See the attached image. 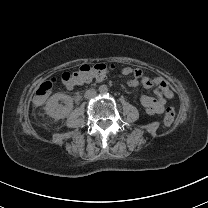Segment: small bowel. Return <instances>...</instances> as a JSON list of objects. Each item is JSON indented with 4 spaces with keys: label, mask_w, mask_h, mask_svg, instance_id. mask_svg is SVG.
I'll return each mask as SVG.
<instances>
[{
    "label": "small bowel",
    "mask_w": 208,
    "mask_h": 208,
    "mask_svg": "<svg viewBox=\"0 0 208 208\" xmlns=\"http://www.w3.org/2000/svg\"><path fill=\"white\" fill-rule=\"evenodd\" d=\"M122 72L124 75L131 77V79L128 81V84L131 87H136L140 83L146 87H157L155 96L142 97L141 104L144 107L146 113L149 115L162 114L164 112L165 106L167 105V102L173 97V92L169 88L166 80L162 77H150L140 68L125 67ZM112 75L113 72L108 70L107 72H103L99 76H96L95 80L105 81L107 77H111ZM91 80L92 79L71 80L67 88L72 89L73 87H81L82 85L88 86Z\"/></svg>",
    "instance_id": "small-bowel-1"
}]
</instances>
